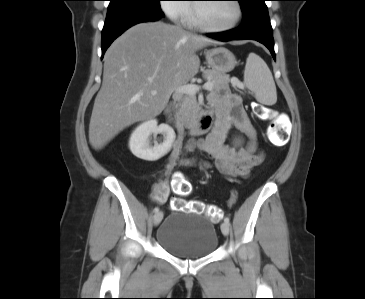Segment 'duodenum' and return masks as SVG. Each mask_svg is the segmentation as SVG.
<instances>
[{"label": "duodenum", "instance_id": "410a0bca", "mask_svg": "<svg viewBox=\"0 0 365 299\" xmlns=\"http://www.w3.org/2000/svg\"><path fill=\"white\" fill-rule=\"evenodd\" d=\"M172 113L171 107H168L166 110V116L170 119ZM212 127V117L208 112L202 113L198 119L193 122L188 128L183 127L182 125H177V130L179 133H190V134H202L208 131Z\"/></svg>", "mask_w": 365, "mask_h": 299}]
</instances>
